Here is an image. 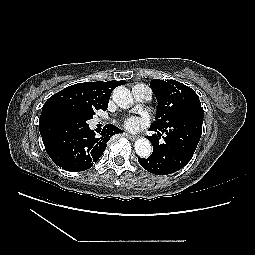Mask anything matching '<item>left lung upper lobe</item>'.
Listing matches in <instances>:
<instances>
[{"label": "left lung upper lobe", "instance_id": "obj_1", "mask_svg": "<svg viewBox=\"0 0 255 255\" xmlns=\"http://www.w3.org/2000/svg\"><path fill=\"white\" fill-rule=\"evenodd\" d=\"M150 86L157 98L156 121L153 125L167 128L177 120L194 116L203 111L194 90L175 80L153 79Z\"/></svg>", "mask_w": 255, "mask_h": 255}]
</instances>
